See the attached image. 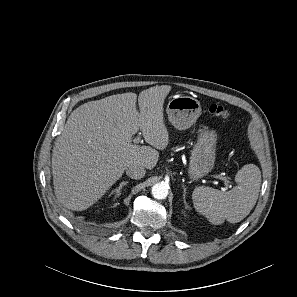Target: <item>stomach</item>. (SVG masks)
<instances>
[{
  "label": "stomach",
  "mask_w": 297,
  "mask_h": 297,
  "mask_svg": "<svg viewBox=\"0 0 297 297\" xmlns=\"http://www.w3.org/2000/svg\"><path fill=\"white\" fill-rule=\"evenodd\" d=\"M166 112L171 124L179 129L190 128L201 114L200 102L190 96H174L167 104ZM217 134L204 127L199 131L197 142L190 152L188 173L197 180L208 174L214 166Z\"/></svg>",
  "instance_id": "stomach-1"
}]
</instances>
